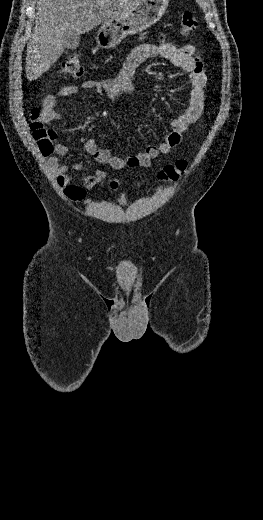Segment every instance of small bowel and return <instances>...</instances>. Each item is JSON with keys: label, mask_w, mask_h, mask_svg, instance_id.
<instances>
[{"label": "small bowel", "mask_w": 263, "mask_h": 520, "mask_svg": "<svg viewBox=\"0 0 263 520\" xmlns=\"http://www.w3.org/2000/svg\"><path fill=\"white\" fill-rule=\"evenodd\" d=\"M156 57L167 59L174 66L184 70L188 74L191 84L188 107L183 114L172 120L171 131L163 141L159 145L148 146L143 152L126 157L112 155L108 149L99 148L92 138H86L83 141V147L98 163L109 165L113 169L149 167L158 155L168 154L179 145L183 132L196 123L202 115L207 77L202 61L196 55L195 48L190 44L176 45L161 37L157 43L138 45L127 56L116 77L104 80H86L80 85L63 86L57 95H48L43 101L42 121L48 123L60 120L62 116L56 110L58 97L76 95L81 89H93L98 93L118 96L135 94L132 78L136 70L146 61ZM67 151L66 146L58 144L55 147V154L47 161L48 167L64 194L72 201H80L84 198L86 190L94 188L104 180L105 172L97 169L92 174L84 176L70 174V169L81 170L82 164L77 163L69 167L63 163L60 156H64Z\"/></svg>", "instance_id": "small-bowel-1"}]
</instances>
